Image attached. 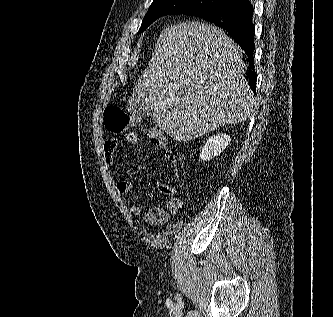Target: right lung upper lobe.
<instances>
[{"instance_id":"1","label":"right lung upper lobe","mask_w":333,"mask_h":317,"mask_svg":"<svg viewBox=\"0 0 333 317\" xmlns=\"http://www.w3.org/2000/svg\"><path fill=\"white\" fill-rule=\"evenodd\" d=\"M227 1H229V3H234V2L239 1V0H227Z\"/></svg>"}]
</instances>
